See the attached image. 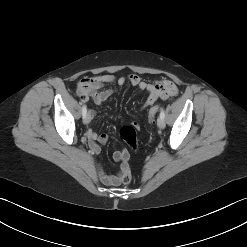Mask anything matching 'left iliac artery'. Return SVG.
I'll return each mask as SVG.
<instances>
[{"label": "left iliac artery", "mask_w": 247, "mask_h": 247, "mask_svg": "<svg viewBox=\"0 0 247 247\" xmlns=\"http://www.w3.org/2000/svg\"><path fill=\"white\" fill-rule=\"evenodd\" d=\"M160 117H161V118H164V117H165L164 108H162L161 111H160Z\"/></svg>", "instance_id": "left-iliac-artery-1"}]
</instances>
